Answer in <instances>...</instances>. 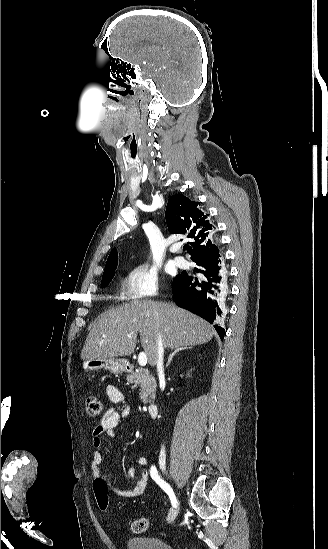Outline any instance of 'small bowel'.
I'll use <instances>...</instances> for the list:
<instances>
[{
    "instance_id": "small-bowel-1",
    "label": "small bowel",
    "mask_w": 328,
    "mask_h": 549,
    "mask_svg": "<svg viewBox=\"0 0 328 549\" xmlns=\"http://www.w3.org/2000/svg\"><path fill=\"white\" fill-rule=\"evenodd\" d=\"M106 393L109 400L113 404H122L124 403L123 393L113 385H108L106 387ZM131 412L130 407H124L118 409L115 406L109 407L104 415L101 418L100 424L92 432V454L90 458V469L92 475L97 478H102V473L100 471V463L102 461V456L100 452V447L102 445L103 436L107 435L111 438L115 437V429L118 425L129 416ZM137 464L144 467L139 478L137 479L135 485L128 489L123 490L116 488L118 493H121L127 497H138L141 496L149 483L150 473L148 469V460L143 456H139L136 460ZM126 476L128 479H134L136 476V470L134 466H129L126 470Z\"/></svg>"
}]
</instances>
